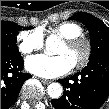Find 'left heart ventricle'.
<instances>
[{
  "mask_svg": "<svg viewBox=\"0 0 109 109\" xmlns=\"http://www.w3.org/2000/svg\"><path fill=\"white\" fill-rule=\"evenodd\" d=\"M85 52V47L83 44H78L74 47H68L65 43H62L61 47L58 50V54H64L68 56L71 62L75 65L83 57Z\"/></svg>",
  "mask_w": 109,
  "mask_h": 109,
  "instance_id": "b2bd125f",
  "label": "left heart ventricle"
}]
</instances>
